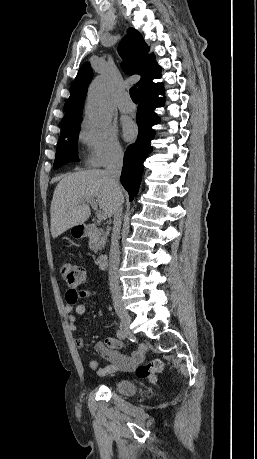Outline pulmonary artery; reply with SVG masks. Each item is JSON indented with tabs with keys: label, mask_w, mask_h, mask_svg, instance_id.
<instances>
[{
	"label": "pulmonary artery",
	"mask_w": 257,
	"mask_h": 459,
	"mask_svg": "<svg viewBox=\"0 0 257 459\" xmlns=\"http://www.w3.org/2000/svg\"><path fill=\"white\" fill-rule=\"evenodd\" d=\"M119 110L123 113H130L134 110V105L130 100V97L128 94H125L119 103Z\"/></svg>",
	"instance_id": "pulmonary-artery-1"
}]
</instances>
